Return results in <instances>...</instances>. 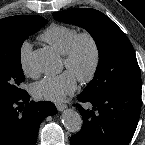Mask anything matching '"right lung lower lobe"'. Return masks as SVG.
Masks as SVG:
<instances>
[{"mask_svg":"<svg viewBox=\"0 0 145 145\" xmlns=\"http://www.w3.org/2000/svg\"><path fill=\"white\" fill-rule=\"evenodd\" d=\"M56 113L53 103L30 101L27 92L0 97V145H35L40 123Z\"/></svg>","mask_w":145,"mask_h":145,"instance_id":"right-lung-lower-lobe-1","label":"right lung lower lobe"}]
</instances>
